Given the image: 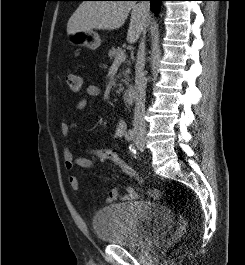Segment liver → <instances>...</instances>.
<instances>
[{
	"label": "liver",
	"instance_id": "liver-1",
	"mask_svg": "<svg viewBox=\"0 0 245 265\" xmlns=\"http://www.w3.org/2000/svg\"><path fill=\"white\" fill-rule=\"evenodd\" d=\"M131 12L127 41L135 43L145 31L148 16L144 17L139 3L132 1H85L79 5L67 23V34L81 31L119 29Z\"/></svg>",
	"mask_w": 245,
	"mask_h": 265
}]
</instances>
